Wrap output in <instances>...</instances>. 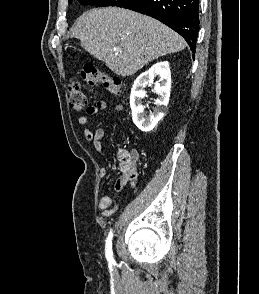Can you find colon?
Wrapping results in <instances>:
<instances>
[{
	"instance_id": "5ec220e1",
	"label": "colon",
	"mask_w": 259,
	"mask_h": 294,
	"mask_svg": "<svg viewBox=\"0 0 259 294\" xmlns=\"http://www.w3.org/2000/svg\"><path fill=\"white\" fill-rule=\"evenodd\" d=\"M81 77L89 86L100 84L107 92L113 95L120 94L121 92L120 80L115 76L99 70L95 66H85L81 71ZM68 91L71 108L78 112H82L84 110L87 111V100L81 84L77 81L71 82ZM119 157L127 178L132 184H134L136 180V172L131 166L130 155L125 151H120Z\"/></svg>"
}]
</instances>
